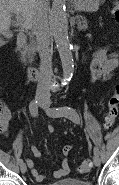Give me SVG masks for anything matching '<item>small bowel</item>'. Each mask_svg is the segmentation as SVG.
Here are the masks:
<instances>
[{
  "label": "small bowel",
  "mask_w": 119,
  "mask_h": 185,
  "mask_svg": "<svg viewBox=\"0 0 119 185\" xmlns=\"http://www.w3.org/2000/svg\"><path fill=\"white\" fill-rule=\"evenodd\" d=\"M118 66V58L116 53H109V48L103 47L94 52L93 58L90 63V82L94 83L97 81H105L108 80L114 70ZM4 113L6 114V122L3 133L5 136H8L9 130V121L11 119L10 110L7 107L3 109ZM53 127H49V131L53 132ZM72 145H65L62 149V165L61 168L53 173L55 178H63L70 173V166H69V156L72 150ZM31 152L35 159H39L42 156L41 151L36 147H31ZM27 164L31 170V173L36 182H42L45 180V176L40 174L36 162L27 159Z\"/></svg>",
  "instance_id": "c3829d8e"
}]
</instances>
